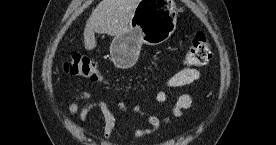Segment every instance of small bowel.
<instances>
[{
    "mask_svg": "<svg viewBox=\"0 0 276 145\" xmlns=\"http://www.w3.org/2000/svg\"><path fill=\"white\" fill-rule=\"evenodd\" d=\"M200 75V71L197 69L184 68L168 80L167 86L171 88L182 89L190 85L194 81L198 80ZM83 101L85 102V104L83 105V107L80 108L79 104ZM157 101L160 103H165L168 101V96L165 92H160L157 95ZM113 103L122 113L127 115L128 110L124 103L118 100H113ZM191 104V97L184 92H180L174 101L173 114L175 116H180L184 110L190 108ZM66 108L70 116L76 118L81 123L86 121L87 116L91 110L95 108L99 109L104 118V139L108 141L112 138L115 132L116 118L108 103L97 101L94 96L89 92H80L70 99ZM133 111L145 117L150 124V127L148 128L137 130L134 133L135 138H143L149 136L159 129L161 125V119L159 117L143 111L138 106L134 107ZM165 121L167 122L168 118H166Z\"/></svg>",
    "mask_w": 276,
    "mask_h": 145,
    "instance_id": "obj_1",
    "label": "small bowel"
}]
</instances>
